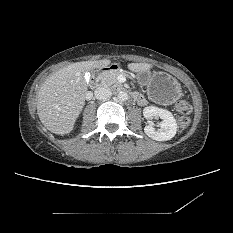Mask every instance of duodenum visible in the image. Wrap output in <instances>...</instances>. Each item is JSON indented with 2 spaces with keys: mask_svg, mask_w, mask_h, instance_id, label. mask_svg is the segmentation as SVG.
<instances>
[{
  "mask_svg": "<svg viewBox=\"0 0 233 233\" xmlns=\"http://www.w3.org/2000/svg\"><path fill=\"white\" fill-rule=\"evenodd\" d=\"M118 70V66L117 65H113V64H106V65H103L102 67H100L97 71H96V76L94 78L91 79L90 81V87L91 88H95L97 87L98 85V82L100 81L101 79V76L107 74L108 72L110 71H116ZM133 97L134 98H137L138 95L136 94H133Z\"/></svg>",
  "mask_w": 233,
  "mask_h": 233,
  "instance_id": "duodenum-1",
  "label": "duodenum"
}]
</instances>
